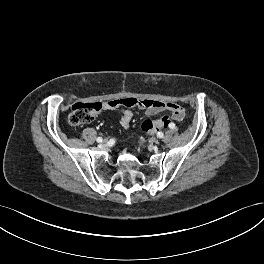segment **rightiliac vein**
<instances>
[{
    "label": "right iliac vein",
    "instance_id": "1",
    "mask_svg": "<svg viewBox=\"0 0 264 264\" xmlns=\"http://www.w3.org/2000/svg\"><path fill=\"white\" fill-rule=\"evenodd\" d=\"M104 144V145H106V144H108V137H103V140H101V144Z\"/></svg>",
    "mask_w": 264,
    "mask_h": 264
}]
</instances>
